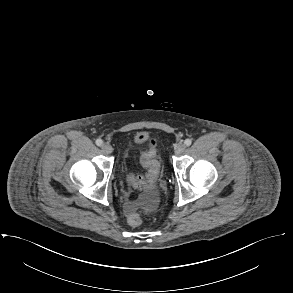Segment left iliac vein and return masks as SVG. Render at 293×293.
<instances>
[{
	"label": "left iliac vein",
	"mask_w": 293,
	"mask_h": 293,
	"mask_svg": "<svg viewBox=\"0 0 293 293\" xmlns=\"http://www.w3.org/2000/svg\"><path fill=\"white\" fill-rule=\"evenodd\" d=\"M185 151V144L179 143L175 146L174 152L176 155H181Z\"/></svg>",
	"instance_id": "left-iliac-vein-1"
}]
</instances>
